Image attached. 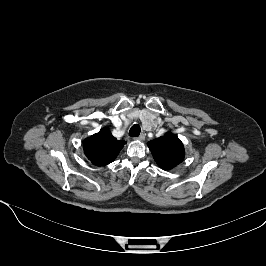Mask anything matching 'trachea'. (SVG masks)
<instances>
[{
	"instance_id": "obj_1",
	"label": "trachea",
	"mask_w": 266,
	"mask_h": 266,
	"mask_svg": "<svg viewBox=\"0 0 266 266\" xmlns=\"http://www.w3.org/2000/svg\"><path fill=\"white\" fill-rule=\"evenodd\" d=\"M140 126L138 124H135L131 127L129 131V135L131 137H138L140 135Z\"/></svg>"
}]
</instances>
